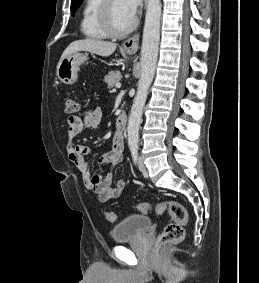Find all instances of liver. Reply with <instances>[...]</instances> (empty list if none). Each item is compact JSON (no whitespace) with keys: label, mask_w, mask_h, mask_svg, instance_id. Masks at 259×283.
Returning <instances> with one entry per match:
<instances>
[{"label":"liver","mask_w":259,"mask_h":283,"mask_svg":"<svg viewBox=\"0 0 259 283\" xmlns=\"http://www.w3.org/2000/svg\"><path fill=\"white\" fill-rule=\"evenodd\" d=\"M117 45L112 42L86 38L73 41L63 52L61 59L77 51H88L103 57H108L116 50Z\"/></svg>","instance_id":"liver-1"}]
</instances>
